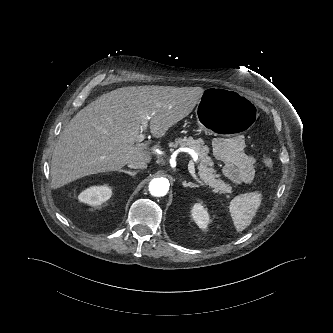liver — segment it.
<instances>
[{"label": "liver", "mask_w": 333, "mask_h": 333, "mask_svg": "<svg viewBox=\"0 0 333 333\" xmlns=\"http://www.w3.org/2000/svg\"><path fill=\"white\" fill-rule=\"evenodd\" d=\"M203 93L201 87L129 86L101 95L60 134L51 161L53 188L117 171L131 160L150 162L149 142L135 145L141 116H149L151 134L162 137L192 112Z\"/></svg>", "instance_id": "obj_1"}]
</instances>
